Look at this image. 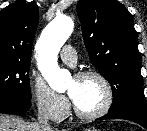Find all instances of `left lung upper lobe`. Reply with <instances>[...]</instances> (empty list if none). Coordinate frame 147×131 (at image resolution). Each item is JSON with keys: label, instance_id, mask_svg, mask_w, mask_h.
<instances>
[{"label": "left lung upper lobe", "instance_id": "obj_1", "mask_svg": "<svg viewBox=\"0 0 147 131\" xmlns=\"http://www.w3.org/2000/svg\"><path fill=\"white\" fill-rule=\"evenodd\" d=\"M76 9L90 61L111 84L109 112L147 111L137 32L130 12L117 0H80Z\"/></svg>", "mask_w": 147, "mask_h": 131}]
</instances>
